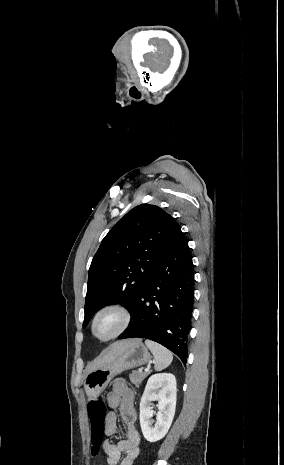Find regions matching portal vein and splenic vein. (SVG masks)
<instances>
[{
  "instance_id": "1",
  "label": "portal vein and splenic vein",
  "mask_w": 284,
  "mask_h": 465,
  "mask_svg": "<svg viewBox=\"0 0 284 465\" xmlns=\"http://www.w3.org/2000/svg\"><path fill=\"white\" fill-rule=\"evenodd\" d=\"M143 369H139V373H142Z\"/></svg>"
}]
</instances>
